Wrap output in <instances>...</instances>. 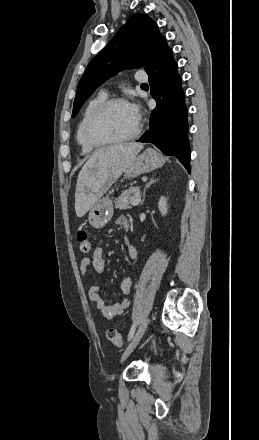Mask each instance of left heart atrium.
Masks as SVG:
<instances>
[{"instance_id": "left-heart-atrium-1", "label": "left heart atrium", "mask_w": 259, "mask_h": 440, "mask_svg": "<svg viewBox=\"0 0 259 440\" xmlns=\"http://www.w3.org/2000/svg\"><path fill=\"white\" fill-rule=\"evenodd\" d=\"M129 106H130V109H131L136 121L139 122L140 116H141L139 106L137 104H129Z\"/></svg>"}]
</instances>
